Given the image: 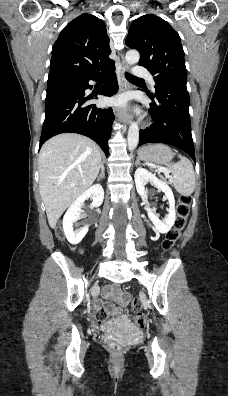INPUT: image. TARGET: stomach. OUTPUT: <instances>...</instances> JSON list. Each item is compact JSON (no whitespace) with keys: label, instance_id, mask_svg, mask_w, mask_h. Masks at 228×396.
Returning a JSON list of instances; mask_svg holds the SVG:
<instances>
[{"label":"stomach","instance_id":"1","mask_svg":"<svg viewBox=\"0 0 228 396\" xmlns=\"http://www.w3.org/2000/svg\"><path fill=\"white\" fill-rule=\"evenodd\" d=\"M139 158L155 164H168L174 157L171 148L165 144L143 146L138 152Z\"/></svg>","mask_w":228,"mask_h":396}]
</instances>
